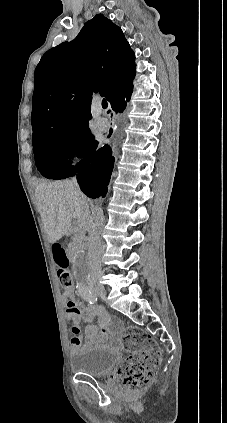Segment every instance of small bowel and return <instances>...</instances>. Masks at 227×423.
<instances>
[{
    "instance_id": "c3829d8e",
    "label": "small bowel",
    "mask_w": 227,
    "mask_h": 423,
    "mask_svg": "<svg viewBox=\"0 0 227 423\" xmlns=\"http://www.w3.org/2000/svg\"><path fill=\"white\" fill-rule=\"evenodd\" d=\"M62 300L66 306V317L72 323L73 336L70 340L71 349L77 351L82 344L79 324L82 320L87 321L84 329L85 339L89 344H94L102 340L105 331L112 324H117L104 309L98 304L90 303L84 305L76 298V291L73 287L66 288ZM97 318V324L92 320Z\"/></svg>"
}]
</instances>
